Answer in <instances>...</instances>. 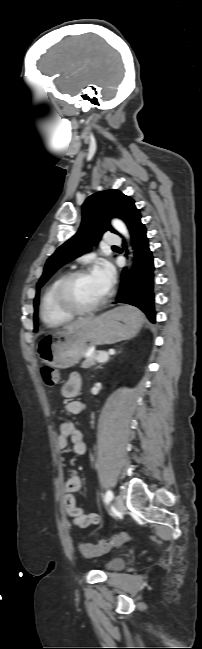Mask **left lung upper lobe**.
Returning <instances> with one entry per match:
<instances>
[{
  "instance_id": "5c2ea615",
  "label": "left lung upper lobe",
  "mask_w": 202,
  "mask_h": 649,
  "mask_svg": "<svg viewBox=\"0 0 202 649\" xmlns=\"http://www.w3.org/2000/svg\"><path fill=\"white\" fill-rule=\"evenodd\" d=\"M83 217L78 232L68 241L63 243L56 252L47 260L43 275L37 283L36 297L34 299V331L38 329L39 289L43 284L64 264L91 250L104 232L110 230L117 233L110 225V218L118 217L127 226L136 217L140 216L135 207L134 200L124 195L119 190H106L89 196L82 206Z\"/></svg>"
}]
</instances>
